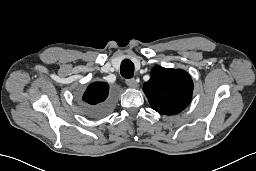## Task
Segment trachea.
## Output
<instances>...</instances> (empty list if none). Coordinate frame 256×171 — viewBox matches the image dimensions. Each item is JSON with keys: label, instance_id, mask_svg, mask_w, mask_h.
Returning a JSON list of instances; mask_svg holds the SVG:
<instances>
[{"label": "trachea", "instance_id": "3493384b", "mask_svg": "<svg viewBox=\"0 0 256 171\" xmlns=\"http://www.w3.org/2000/svg\"><path fill=\"white\" fill-rule=\"evenodd\" d=\"M120 73L121 75L126 78L130 79L134 75V64L129 59H124L121 63L120 67Z\"/></svg>", "mask_w": 256, "mask_h": 171}]
</instances>
